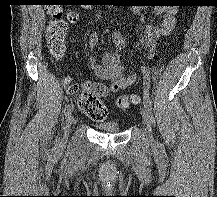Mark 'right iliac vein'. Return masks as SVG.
Instances as JSON below:
<instances>
[{
    "instance_id": "obj_1",
    "label": "right iliac vein",
    "mask_w": 217,
    "mask_h": 197,
    "mask_svg": "<svg viewBox=\"0 0 217 197\" xmlns=\"http://www.w3.org/2000/svg\"><path fill=\"white\" fill-rule=\"evenodd\" d=\"M73 121H74V115L70 112L67 116V119H66V123L64 126V134H63V137L60 141V145L66 144L67 139H68V135H69V131H70V128H71Z\"/></svg>"
}]
</instances>
